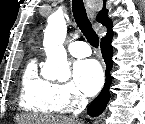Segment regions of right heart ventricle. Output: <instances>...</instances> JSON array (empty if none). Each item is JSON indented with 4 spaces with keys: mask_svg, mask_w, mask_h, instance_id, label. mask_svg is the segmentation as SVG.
<instances>
[{
    "mask_svg": "<svg viewBox=\"0 0 145 124\" xmlns=\"http://www.w3.org/2000/svg\"><path fill=\"white\" fill-rule=\"evenodd\" d=\"M54 84L41 77L35 60H31L21 77L19 104L30 112L50 115L60 110L54 101Z\"/></svg>",
    "mask_w": 145,
    "mask_h": 124,
    "instance_id": "1",
    "label": "right heart ventricle"
}]
</instances>
